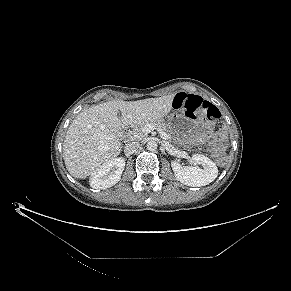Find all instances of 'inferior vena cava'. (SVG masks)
<instances>
[{"instance_id": "602c4592", "label": "inferior vena cava", "mask_w": 291, "mask_h": 291, "mask_svg": "<svg viewBox=\"0 0 291 291\" xmlns=\"http://www.w3.org/2000/svg\"><path fill=\"white\" fill-rule=\"evenodd\" d=\"M140 148V143L137 141L129 142L124 148L126 154H133Z\"/></svg>"}]
</instances>
